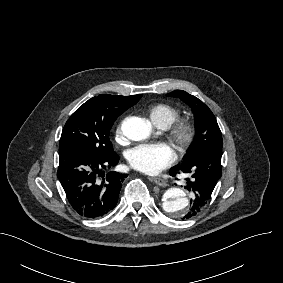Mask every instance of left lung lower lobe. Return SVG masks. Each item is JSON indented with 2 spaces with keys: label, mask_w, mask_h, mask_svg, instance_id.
Listing matches in <instances>:
<instances>
[{
  "label": "left lung lower lobe",
  "mask_w": 283,
  "mask_h": 283,
  "mask_svg": "<svg viewBox=\"0 0 283 283\" xmlns=\"http://www.w3.org/2000/svg\"><path fill=\"white\" fill-rule=\"evenodd\" d=\"M222 150H211L202 153L198 158L188 163L177 165L171 169L170 175L189 173L187 189L193 192L190 209L184 218L189 219L198 214L210 200L217 181L222 175Z\"/></svg>",
  "instance_id": "obj_1"
}]
</instances>
